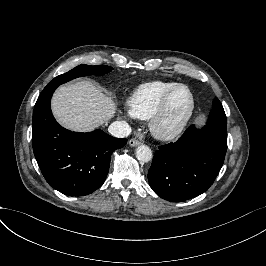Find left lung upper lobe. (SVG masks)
<instances>
[{
	"mask_svg": "<svg viewBox=\"0 0 266 266\" xmlns=\"http://www.w3.org/2000/svg\"><path fill=\"white\" fill-rule=\"evenodd\" d=\"M207 125L227 129V119L222 107L221 102L218 98L213 100L212 110L210 112Z\"/></svg>",
	"mask_w": 266,
	"mask_h": 266,
	"instance_id": "1",
	"label": "left lung upper lobe"
}]
</instances>
